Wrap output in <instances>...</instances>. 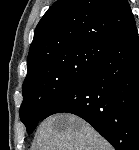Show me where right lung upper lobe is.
Returning <instances> with one entry per match:
<instances>
[{
    "label": "right lung upper lobe",
    "instance_id": "obj_1",
    "mask_svg": "<svg viewBox=\"0 0 139 150\" xmlns=\"http://www.w3.org/2000/svg\"><path fill=\"white\" fill-rule=\"evenodd\" d=\"M134 24L127 0H57L34 31L27 73L57 53L111 45Z\"/></svg>",
    "mask_w": 139,
    "mask_h": 150
}]
</instances>
